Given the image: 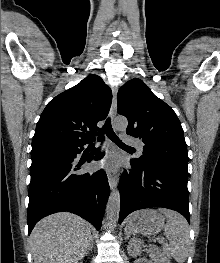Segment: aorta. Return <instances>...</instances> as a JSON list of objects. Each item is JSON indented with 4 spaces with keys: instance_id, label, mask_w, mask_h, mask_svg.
I'll list each match as a JSON object with an SVG mask.
<instances>
[{
    "instance_id": "obj_1",
    "label": "aorta",
    "mask_w": 220,
    "mask_h": 263,
    "mask_svg": "<svg viewBox=\"0 0 220 263\" xmlns=\"http://www.w3.org/2000/svg\"><path fill=\"white\" fill-rule=\"evenodd\" d=\"M128 122L124 117H118L113 122V127L117 131H125L127 128ZM120 212V192L117 187H114L112 192L110 193L108 203L106 206V214L109 224L112 227L116 226L118 222Z\"/></svg>"
}]
</instances>
